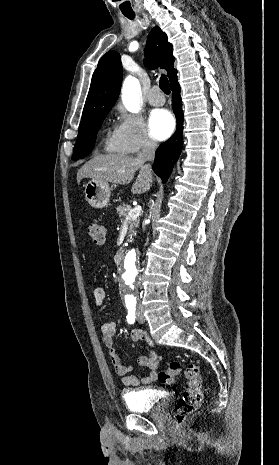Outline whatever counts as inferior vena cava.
I'll use <instances>...</instances> for the list:
<instances>
[{
	"instance_id": "inferior-vena-cava-1",
	"label": "inferior vena cava",
	"mask_w": 279,
	"mask_h": 465,
	"mask_svg": "<svg viewBox=\"0 0 279 465\" xmlns=\"http://www.w3.org/2000/svg\"><path fill=\"white\" fill-rule=\"evenodd\" d=\"M157 144L150 138H145L141 151L138 154V159L142 162L153 161L155 156ZM146 167L151 170V165L147 164Z\"/></svg>"
}]
</instances>
